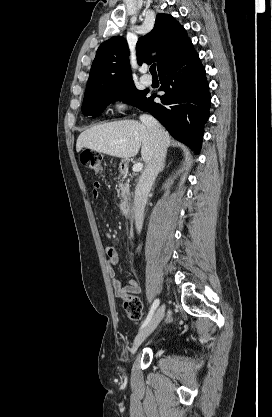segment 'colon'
<instances>
[{"instance_id":"5ec220e1","label":"colon","mask_w":272,"mask_h":417,"mask_svg":"<svg viewBox=\"0 0 272 417\" xmlns=\"http://www.w3.org/2000/svg\"><path fill=\"white\" fill-rule=\"evenodd\" d=\"M81 163L96 174H100L104 169V160L100 153L86 149L80 155ZM123 307L129 319L138 321L142 317V303L134 295H125Z\"/></svg>"}]
</instances>
